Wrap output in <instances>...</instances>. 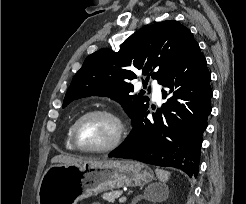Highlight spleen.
<instances>
[{"label":"spleen","mask_w":246,"mask_h":204,"mask_svg":"<svg viewBox=\"0 0 246 204\" xmlns=\"http://www.w3.org/2000/svg\"><path fill=\"white\" fill-rule=\"evenodd\" d=\"M155 172H156L158 179L162 181L163 183H166L169 180V177L171 175L169 171L159 169V168H156Z\"/></svg>","instance_id":"spleen-1"}]
</instances>
